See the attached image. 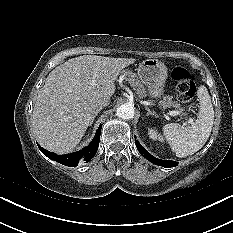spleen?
Instances as JSON below:
<instances>
[{"label": "spleen", "instance_id": "1", "mask_svg": "<svg viewBox=\"0 0 233 233\" xmlns=\"http://www.w3.org/2000/svg\"><path fill=\"white\" fill-rule=\"evenodd\" d=\"M199 112L195 122L188 126L170 123L163 126V135L173 152L179 158L194 154L200 150L208 140L214 122V110L211 97L205 86L197 91Z\"/></svg>", "mask_w": 233, "mask_h": 233}]
</instances>
